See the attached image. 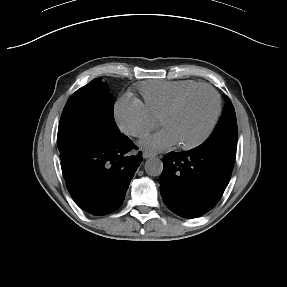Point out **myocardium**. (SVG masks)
<instances>
[{
	"label": "myocardium",
	"mask_w": 287,
	"mask_h": 287,
	"mask_svg": "<svg viewBox=\"0 0 287 287\" xmlns=\"http://www.w3.org/2000/svg\"><path fill=\"white\" fill-rule=\"evenodd\" d=\"M208 91L213 99H214V111H213V115L211 117L210 123L207 127V129L205 130V132L196 140L191 141L189 143H179L178 146L181 149L184 150H190L193 148H196L198 146H200L201 144H203L212 134L217 121L219 119L220 116V112H221V100H220V96L217 93V91L215 89H213L212 87L208 86V85H198L196 87H193L191 89H189L188 91H186L185 93H183L179 98H177L174 103L166 110V112L162 115L160 122L161 125L163 124V122L173 116L179 109L180 107L183 105V103L189 98L191 97L193 94L199 92V91Z\"/></svg>",
	"instance_id": "f54148a6"
}]
</instances>
